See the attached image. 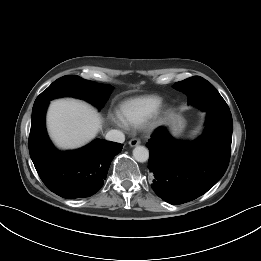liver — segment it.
<instances>
[{
  "label": "liver",
  "mask_w": 261,
  "mask_h": 261,
  "mask_svg": "<svg viewBox=\"0 0 261 261\" xmlns=\"http://www.w3.org/2000/svg\"><path fill=\"white\" fill-rule=\"evenodd\" d=\"M47 128L51 139L59 148L75 149L95 138L102 129V119L85 102L59 99L49 106Z\"/></svg>",
  "instance_id": "liver-1"
}]
</instances>
